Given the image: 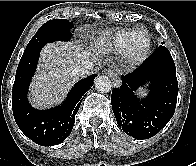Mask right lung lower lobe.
Instances as JSON below:
<instances>
[{"instance_id": "1", "label": "right lung lower lobe", "mask_w": 196, "mask_h": 166, "mask_svg": "<svg viewBox=\"0 0 196 166\" xmlns=\"http://www.w3.org/2000/svg\"><path fill=\"white\" fill-rule=\"evenodd\" d=\"M41 48L25 50L22 55L13 85L12 110L18 127L29 139L41 146H52L71 133L82 97L93 85L96 74L76 83L62 105L48 110L34 109L28 103L27 91Z\"/></svg>"}]
</instances>
